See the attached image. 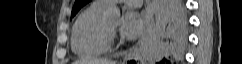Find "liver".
I'll return each mask as SVG.
<instances>
[{"instance_id":"6515ba94","label":"liver","mask_w":242,"mask_h":64,"mask_svg":"<svg viewBox=\"0 0 242 64\" xmlns=\"http://www.w3.org/2000/svg\"><path fill=\"white\" fill-rule=\"evenodd\" d=\"M73 64H116L114 61L109 59H86L75 61Z\"/></svg>"}]
</instances>
